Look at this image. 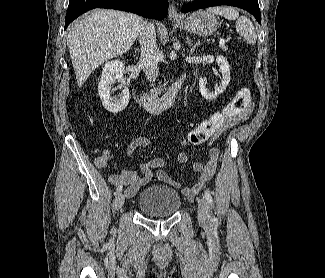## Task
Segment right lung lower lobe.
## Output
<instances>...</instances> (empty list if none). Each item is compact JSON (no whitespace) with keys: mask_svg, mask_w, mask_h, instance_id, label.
<instances>
[{"mask_svg":"<svg viewBox=\"0 0 325 278\" xmlns=\"http://www.w3.org/2000/svg\"><path fill=\"white\" fill-rule=\"evenodd\" d=\"M93 8H111L162 20L168 14L167 0H69L65 29L82 13Z\"/></svg>","mask_w":325,"mask_h":278,"instance_id":"1","label":"right lung lower lobe"}]
</instances>
